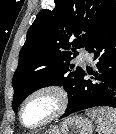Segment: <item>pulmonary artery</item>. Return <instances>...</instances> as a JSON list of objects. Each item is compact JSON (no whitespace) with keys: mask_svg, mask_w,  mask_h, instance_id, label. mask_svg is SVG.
I'll use <instances>...</instances> for the list:
<instances>
[{"mask_svg":"<svg viewBox=\"0 0 116 134\" xmlns=\"http://www.w3.org/2000/svg\"><path fill=\"white\" fill-rule=\"evenodd\" d=\"M92 59V55L91 53L87 50V49H81L80 52H79V55L77 57V60L79 62L81 61H91Z\"/></svg>","mask_w":116,"mask_h":134,"instance_id":"obj_1","label":"pulmonary artery"}]
</instances>
